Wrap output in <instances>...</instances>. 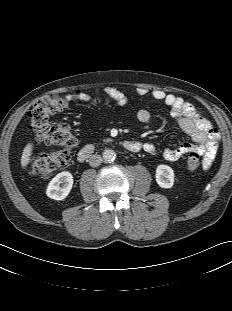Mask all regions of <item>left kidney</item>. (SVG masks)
I'll return each mask as SVG.
<instances>
[{
    "label": "left kidney",
    "instance_id": "1",
    "mask_svg": "<svg viewBox=\"0 0 232 311\" xmlns=\"http://www.w3.org/2000/svg\"><path fill=\"white\" fill-rule=\"evenodd\" d=\"M156 182L162 188H171L174 184V171L168 165H158L156 168Z\"/></svg>",
    "mask_w": 232,
    "mask_h": 311
}]
</instances>
